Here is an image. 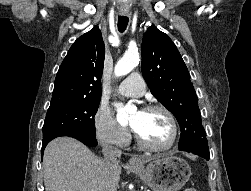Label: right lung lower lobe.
Returning <instances> with one entry per match:
<instances>
[{"instance_id":"right-lung-lower-lobe-1","label":"right lung lower lobe","mask_w":251,"mask_h":191,"mask_svg":"<svg viewBox=\"0 0 251 191\" xmlns=\"http://www.w3.org/2000/svg\"><path fill=\"white\" fill-rule=\"evenodd\" d=\"M60 136H69V137H73L79 141H81L82 143H84L85 145L87 146H91V147H94L97 145V141H96V136H93V135H88L86 133H82V132H78V131H65V132H62V133H58L56 134L55 136H53L52 138L46 140V141H43V144H42V149H41V155L43 156V152H44V149L46 147V145L54 138L56 137H60Z\"/></svg>"}]
</instances>
